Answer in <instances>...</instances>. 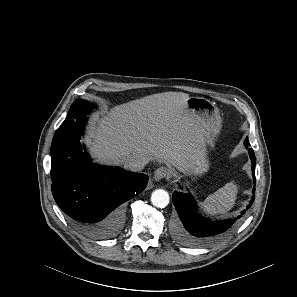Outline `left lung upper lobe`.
I'll use <instances>...</instances> for the list:
<instances>
[{
    "label": "left lung upper lobe",
    "instance_id": "obj_1",
    "mask_svg": "<svg viewBox=\"0 0 297 297\" xmlns=\"http://www.w3.org/2000/svg\"><path fill=\"white\" fill-rule=\"evenodd\" d=\"M244 144H245V145H249L248 138H246V139H245V142H244Z\"/></svg>",
    "mask_w": 297,
    "mask_h": 297
}]
</instances>
